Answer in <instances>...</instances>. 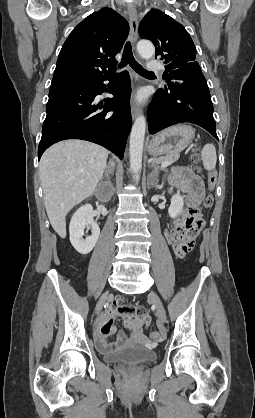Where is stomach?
<instances>
[{
  "mask_svg": "<svg viewBox=\"0 0 255 418\" xmlns=\"http://www.w3.org/2000/svg\"><path fill=\"white\" fill-rule=\"evenodd\" d=\"M195 129L189 125L179 124L161 131L148 143L151 155L179 154L193 141Z\"/></svg>",
  "mask_w": 255,
  "mask_h": 418,
  "instance_id": "obj_1",
  "label": "stomach"
}]
</instances>
